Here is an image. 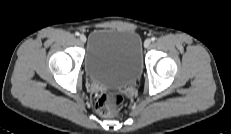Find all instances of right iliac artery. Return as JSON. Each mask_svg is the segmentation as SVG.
<instances>
[{
    "mask_svg": "<svg viewBox=\"0 0 231 134\" xmlns=\"http://www.w3.org/2000/svg\"><path fill=\"white\" fill-rule=\"evenodd\" d=\"M75 35H76V36H79V35H80V33H79V32H76V33H75Z\"/></svg>",
    "mask_w": 231,
    "mask_h": 134,
    "instance_id": "obj_1",
    "label": "right iliac artery"
}]
</instances>
